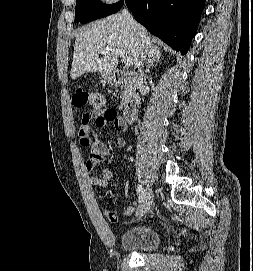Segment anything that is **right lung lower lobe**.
Returning a JSON list of instances; mask_svg holds the SVG:
<instances>
[{"label":"right lung lower lobe","instance_id":"1","mask_svg":"<svg viewBox=\"0 0 253 271\" xmlns=\"http://www.w3.org/2000/svg\"><path fill=\"white\" fill-rule=\"evenodd\" d=\"M134 18L183 55L196 34L204 0H126Z\"/></svg>","mask_w":253,"mask_h":271}]
</instances>
